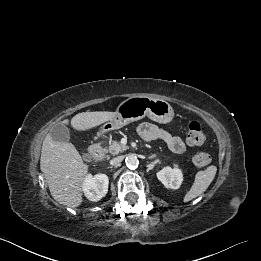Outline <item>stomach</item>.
Returning <instances> with one entry per match:
<instances>
[{
    "label": "stomach",
    "mask_w": 261,
    "mask_h": 261,
    "mask_svg": "<svg viewBox=\"0 0 261 261\" xmlns=\"http://www.w3.org/2000/svg\"><path fill=\"white\" fill-rule=\"evenodd\" d=\"M147 116L158 123H169L174 116L171 105L149 95H135L124 100L116 110V116L105 124V130H116Z\"/></svg>",
    "instance_id": "stomach-1"
}]
</instances>
